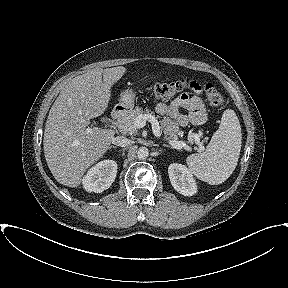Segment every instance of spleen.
Returning <instances> with one entry per match:
<instances>
[{"instance_id": "obj_1", "label": "spleen", "mask_w": 288, "mask_h": 288, "mask_svg": "<svg viewBox=\"0 0 288 288\" xmlns=\"http://www.w3.org/2000/svg\"><path fill=\"white\" fill-rule=\"evenodd\" d=\"M242 144L241 126L235 112L224 111L218 130L202 153L187 157L189 170L211 185L223 183L237 166Z\"/></svg>"}]
</instances>
